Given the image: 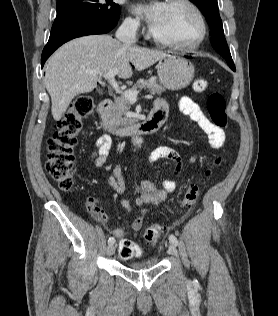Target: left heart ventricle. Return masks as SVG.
Listing matches in <instances>:
<instances>
[{"instance_id":"1","label":"left heart ventricle","mask_w":278,"mask_h":316,"mask_svg":"<svg viewBox=\"0 0 278 316\" xmlns=\"http://www.w3.org/2000/svg\"><path fill=\"white\" fill-rule=\"evenodd\" d=\"M152 31L164 41L189 44L197 38L199 25L195 15L186 6L166 3L165 10Z\"/></svg>"}]
</instances>
